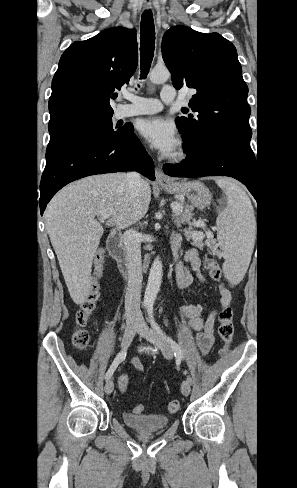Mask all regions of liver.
Masks as SVG:
<instances>
[{
  "label": "liver",
  "instance_id": "1",
  "mask_svg": "<svg viewBox=\"0 0 297 488\" xmlns=\"http://www.w3.org/2000/svg\"><path fill=\"white\" fill-rule=\"evenodd\" d=\"M126 176L109 173L73 182L52 198L45 211L46 229L76 304L83 303L92 288L93 257L104 232L96 215L111 210L106 226L123 228L141 220L148 211L150 184L144 181L131 193Z\"/></svg>",
  "mask_w": 297,
  "mask_h": 488
}]
</instances>
